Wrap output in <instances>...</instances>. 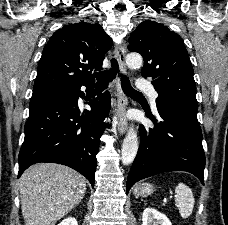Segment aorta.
<instances>
[{
  "mask_svg": "<svg viewBox=\"0 0 228 225\" xmlns=\"http://www.w3.org/2000/svg\"><path fill=\"white\" fill-rule=\"evenodd\" d=\"M126 62L130 68H140L143 64V58L141 54H137V52H129ZM138 151V137L136 131L134 129H130L129 133H127L122 149H121V161L123 165H130L133 163Z\"/></svg>",
  "mask_w": 228,
  "mask_h": 225,
  "instance_id": "1",
  "label": "aorta"
}]
</instances>
